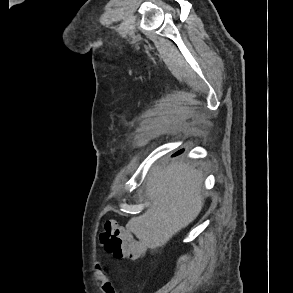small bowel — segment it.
<instances>
[{
    "label": "small bowel",
    "instance_id": "obj_1",
    "mask_svg": "<svg viewBox=\"0 0 293 293\" xmlns=\"http://www.w3.org/2000/svg\"><path fill=\"white\" fill-rule=\"evenodd\" d=\"M95 277L102 283L104 293H117L113 284L109 280L107 272L102 266L97 265L95 269Z\"/></svg>",
    "mask_w": 293,
    "mask_h": 293
}]
</instances>
